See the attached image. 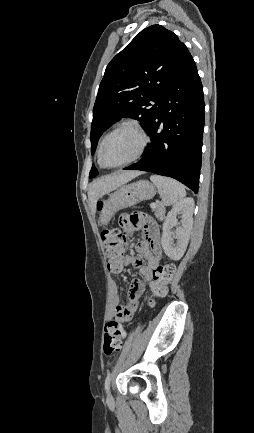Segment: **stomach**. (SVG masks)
<instances>
[{"label": "stomach", "instance_id": "1", "mask_svg": "<svg viewBox=\"0 0 254 433\" xmlns=\"http://www.w3.org/2000/svg\"><path fill=\"white\" fill-rule=\"evenodd\" d=\"M156 193L155 186L147 180L122 185L112 193L101 211V225H107L114 214L137 204L142 200L151 199Z\"/></svg>", "mask_w": 254, "mask_h": 433}]
</instances>
